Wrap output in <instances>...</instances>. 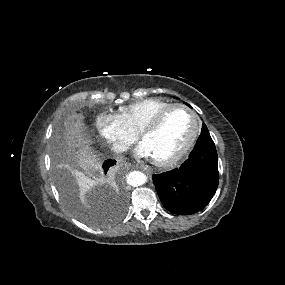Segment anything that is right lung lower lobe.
<instances>
[{"label":"right lung lower lobe","instance_id":"right-lung-lower-lobe-1","mask_svg":"<svg viewBox=\"0 0 285 285\" xmlns=\"http://www.w3.org/2000/svg\"><path fill=\"white\" fill-rule=\"evenodd\" d=\"M115 164V160H107L105 161L104 165H103V169L105 171V173L107 172V170ZM122 204L124 205L125 204V197H122Z\"/></svg>","mask_w":285,"mask_h":285}]
</instances>
